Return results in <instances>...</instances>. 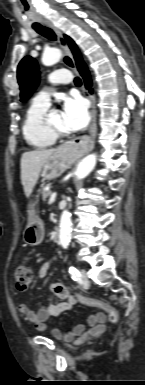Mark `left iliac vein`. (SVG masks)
Instances as JSON below:
<instances>
[{
	"mask_svg": "<svg viewBox=\"0 0 145 385\" xmlns=\"http://www.w3.org/2000/svg\"><path fill=\"white\" fill-rule=\"evenodd\" d=\"M80 276H81V283L84 285V286H88L89 285V280H88V277H87V273L84 269H82L80 271Z\"/></svg>",
	"mask_w": 145,
	"mask_h": 385,
	"instance_id": "4c4485c4",
	"label": "left iliac vein"
}]
</instances>
